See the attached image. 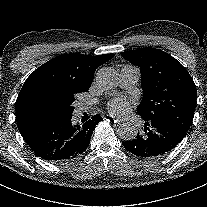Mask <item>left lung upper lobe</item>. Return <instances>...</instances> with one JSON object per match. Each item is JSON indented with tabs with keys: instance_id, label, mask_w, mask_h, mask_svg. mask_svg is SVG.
Segmentation results:
<instances>
[{
	"instance_id": "1",
	"label": "left lung upper lobe",
	"mask_w": 207,
	"mask_h": 207,
	"mask_svg": "<svg viewBox=\"0 0 207 207\" xmlns=\"http://www.w3.org/2000/svg\"><path fill=\"white\" fill-rule=\"evenodd\" d=\"M121 55L141 69L143 98L137 113L144 121L168 123L185 135L197 104L196 86L188 71L171 55L155 48Z\"/></svg>"
}]
</instances>
